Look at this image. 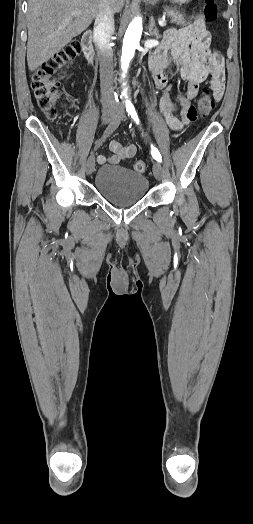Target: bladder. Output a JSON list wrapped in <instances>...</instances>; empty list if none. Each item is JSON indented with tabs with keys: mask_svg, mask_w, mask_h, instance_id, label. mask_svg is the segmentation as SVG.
Returning <instances> with one entry per match:
<instances>
[{
	"mask_svg": "<svg viewBox=\"0 0 253 524\" xmlns=\"http://www.w3.org/2000/svg\"><path fill=\"white\" fill-rule=\"evenodd\" d=\"M95 188L110 204L130 206L141 201L149 188L148 178L123 166H101L95 176Z\"/></svg>",
	"mask_w": 253,
	"mask_h": 524,
	"instance_id": "obj_1",
	"label": "bladder"
}]
</instances>
